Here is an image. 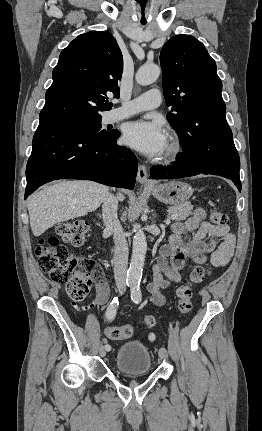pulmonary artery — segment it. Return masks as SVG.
<instances>
[{
	"instance_id": "obj_1",
	"label": "pulmonary artery",
	"mask_w": 262,
	"mask_h": 431,
	"mask_svg": "<svg viewBox=\"0 0 262 431\" xmlns=\"http://www.w3.org/2000/svg\"><path fill=\"white\" fill-rule=\"evenodd\" d=\"M162 102L160 91L157 88L151 89L136 98L123 101L119 108L113 109L108 114L109 122H116L130 117L136 113L157 108Z\"/></svg>"
}]
</instances>
